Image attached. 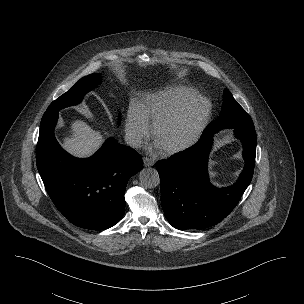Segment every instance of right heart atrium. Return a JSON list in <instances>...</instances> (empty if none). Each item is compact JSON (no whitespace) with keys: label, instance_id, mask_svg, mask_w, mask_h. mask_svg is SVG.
I'll return each mask as SVG.
<instances>
[{"label":"right heart atrium","instance_id":"d8ad5b80","mask_svg":"<svg viewBox=\"0 0 304 304\" xmlns=\"http://www.w3.org/2000/svg\"><path fill=\"white\" fill-rule=\"evenodd\" d=\"M125 132L127 140L133 147H139L149 136L150 127L148 121L138 107H131L128 111Z\"/></svg>","mask_w":304,"mask_h":304}]
</instances>
